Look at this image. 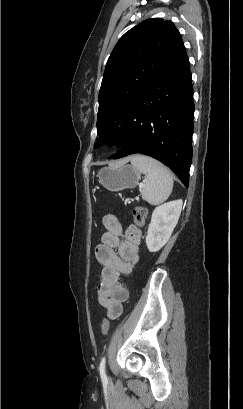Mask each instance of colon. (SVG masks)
Listing matches in <instances>:
<instances>
[{"instance_id":"1","label":"colon","mask_w":243,"mask_h":409,"mask_svg":"<svg viewBox=\"0 0 243 409\" xmlns=\"http://www.w3.org/2000/svg\"><path fill=\"white\" fill-rule=\"evenodd\" d=\"M133 215H134V219H135L136 224L143 225L145 223V218H146V215H147V209L145 207L138 206V207H136L134 209ZM110 325H111V323H110L109 319H107V318L103 319V321L101 322V325H100L101 334H103V335L108 334V332L110 330Z\"/></svg>"}]
</instances>
